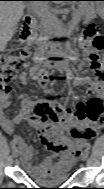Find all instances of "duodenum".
Wrapping results in <instances>:
<instances>
[{
    "label": "duodenum",
    "mask_w": 104,
    "mask_h": 189,
    "mask_svg": "<svg viewBox=\"0 0 104 189\" xmlns=\"http://www.w3.org/2000/svg\"><path fill=\"white\" fill-rule=\"evenodd\" d=\"M35 27V19L32 16H27L23 21V29L20 34V44L23 47H28L30 44L34 42L35 35L34 29Z\"/></svg>",
    "instance_id": "410a0bca"
}]
</instances>
